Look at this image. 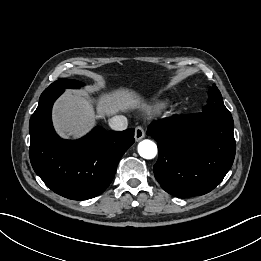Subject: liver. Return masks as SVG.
Here are the masks:
<instances>
[{
	"instance_id": "1",
	"label": "liver",
	"mask_w": 261,
	"mask_h": 261,
	"mask_svg": "<svg viewBox=\"0 0 261 261\" xmlns=\"http://www.w3.org/2000/svg\"><path fill=\"white\" fill-rule=\"evenodd\" d=\"M86 94L67 91L54 105L53 123L59 135L79 138L86 134L95 124L96 118L113 115L118 111L137 108L142 105L141 98L133 91L118 89L103 94L96 101Z\"/></svg>"
}]
</instances>
